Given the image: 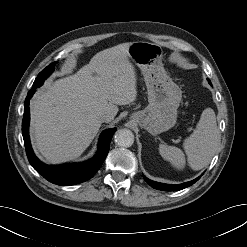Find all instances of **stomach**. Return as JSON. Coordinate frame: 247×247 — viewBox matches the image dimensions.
I'll use <instances>...</instances> for the list:
<instances>
[{"label": "stomach", "instance_id": "0dacf381", "mask_svg": "<svg viewBox=\"0 0 247 247\" xmlns=\"http://www.w3.org/2000/svg\"><path fill=\"white\" fill-rule=\"evenodd\" d=\"M128 56L144 76L149 102L144 110L133 113L131 119L151 135L169 130L176 123L182 91L163 68L162 47L145 41L133 42Z\"/></svg>", "mask_w": 247, "mask_h": 247}]
</instances>
